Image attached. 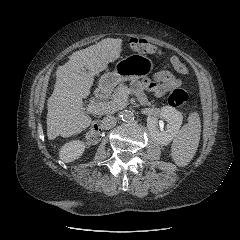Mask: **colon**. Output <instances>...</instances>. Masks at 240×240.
<instances>
[{
	"mask_svg": "<svg viewBox=\"0 0 240 240\" xmlns=\"http://www.w3.org/2000/svg\"><path fill=\"white\" fill-rule=\"evenodd\" d=\"M127 45L130 50L135 52L147 54H161V50L157 46L142 38H131L128 41ZM187 100L188 93L181 88L174 89L168 97V103L173 107L181 106L185 104ZM98 135V128H92L86 135L87 143L92 144L96 142Z\"/></svg>",
	"mask_w": 240,
	"mask_h": 240,
	"instance_id": "colon-1",
	"label": "colon"
}]
</instances>
